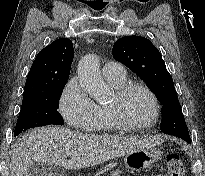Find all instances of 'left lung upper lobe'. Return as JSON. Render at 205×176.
Instances as JSON below:
<instances>
[{"instance_id": "5c2ea615", "label": "left lung upper lobe", "mask_w": 205, "mask_h": 176, "mask_svg": "<svg viewBox=\"0 0 205 176\" xmlns=\"http://www.w3.org/2000/svg\"><path fill=\"white\" fill-rule=\"evenodd\" d=\"M112 53L115 60L123 63L146 82L163 105L162 131L190 143L174 83L159 50L147 38L127 36L115 42Z\"/></svg>"}]
</instances>
